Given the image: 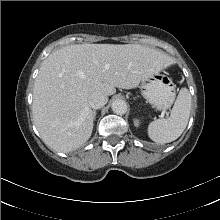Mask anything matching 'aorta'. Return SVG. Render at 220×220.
<instances>
[{"mask_svg": "<svg viewBox=\"0 0 220 220\" xmlns=\"http://www.w3.org/2000/svg\"><path fill=\"white\" fill-rule=\"evenodd\" d=\"M112 111L115 114L123 115L127 112V104L124 100L116 99L111 104Z\"/></svg>", "mask_w": 220, "mask_h": 220, "instance_id": "obj_1", "label": "aorta"}]
</instances>
